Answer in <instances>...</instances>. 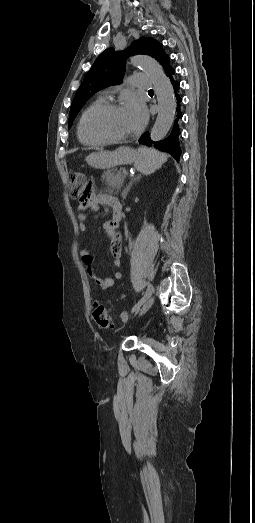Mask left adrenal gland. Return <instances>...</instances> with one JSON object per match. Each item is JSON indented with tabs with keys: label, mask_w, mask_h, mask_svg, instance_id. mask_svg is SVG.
I'll list each match as a JSON object with an SVG mask.
<instances>
[{
	"label": "left adrenal gland",
	"mask_w": 255,
	"mask_h": 523,
	"mask_svg": "<svg viewBox=\"0 0 255 523\" xmlns=\"http://www.w3.org/2000/svg\"><path fill=\"white\" fill-rule=\"evenodd\" d=\"M140 176H137V178H133V176H130V182L128 184V186H126L125 190H123L121 196L123 198V200H126L127 198V194L131 188V186H133L134 182H136V180H139Z\"/></svg>",
	"instance_id": "1"
}]
</instances>
